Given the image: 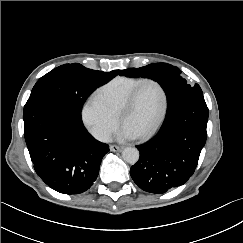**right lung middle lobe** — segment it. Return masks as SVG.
<instances>
[{
	"instance_id": "1",
	"label": "right lung middle lobe",
	"mask_w": 243,
	"mask_h": 243,
	"mask_svg": "<svg viewBox=\"0 0 243 243\" xmlns=\"http://www.w3.org/2000/svg\"><path fill=\"white\" fill-rule=\"evenodd\" d=\"M119 73L120 70L102 72L88 69L78 63L65 64L41 77L33 87L31 95L62 99L81 113L88 96Z\"/></svg>"
}]
</instances>
